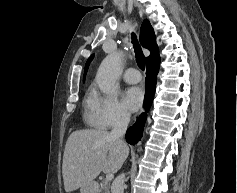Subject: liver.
Returning a JSON list of instances; mask_svg holds the SVG:
<instances>
[{
    "label": "liver",
    "mask_w": 237,
    "mask_h": 193,
    "mask_svg": "<svg viewBox=\"0 0 237 193\" xmlns=\"http://www.w3.org/2000/svg\"><path fill=\"white\" fill-rule=\"evenodd\" d=\"M129 154L128 147L103 130H77L69 136L64 150V189L72 192L103 172L116 173Z\"/></svg>",
    "instance_id": "liver-1"
}]
</instances>
